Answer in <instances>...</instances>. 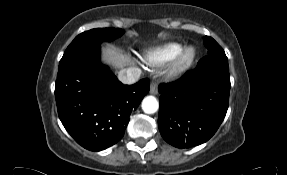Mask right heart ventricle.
<instances>
[{"label":"right heart ventricle","mask_w":287,"mask_h":175,"mask_svg":"<svg viewBox=\"0 0 287 175\" xmlns=\"http://www.w3.org/2000/svg\"><path fill=\"white\" fill-rule=\"evenodd\" d=\"M182 47L179 42H168L147 50L143 60L152 66H162L171 62Z\"/></svg>","instance_id":"obj_1"}]
</instances>
